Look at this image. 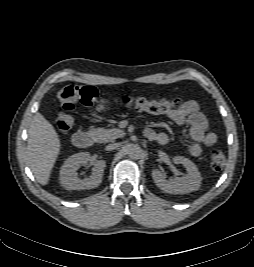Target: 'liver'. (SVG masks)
I'll use <instances>...</instances> for the list:
<instances>
[{
	"mask_svg": "<svg viewBox=\"0 0 254 267\" xmlns=\"http://www.w3.org/2000/svg\"><path fill=\"white\" fill-rule=\"evenodd\" d=\"M27 140V161L36 180L47 185L57 157L61 142L53 126L37 112L29 126Z\"/></svg>",
	"mask_w": 254,
	"mask_h": 267,
	"instance_id": "1",
	"label": "liver"
}]
</instances>
